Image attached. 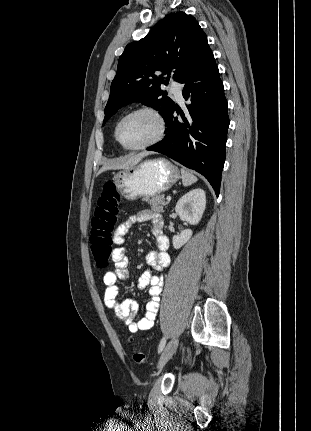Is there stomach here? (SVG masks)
Returning a JSON list of instances; mask_svg holds the SVG:
<instances>
[{"mask_svg":"<svg viewBox=\"0 0 311 431\" xmlns=\"http://www.w3.org/2000/svg\"><path fill=\"white\" fill-rule=\"evenodd\" d=\"M180 172L165 158L144 160L138 166L126 168L113 174V184L120 196L128 202L138 198H154L170 190L178 180Z\"/></svg>","mask_w":311,"mask_h":431,"instance_id":"stomach-1","label":"stomach"}]
</instances>
